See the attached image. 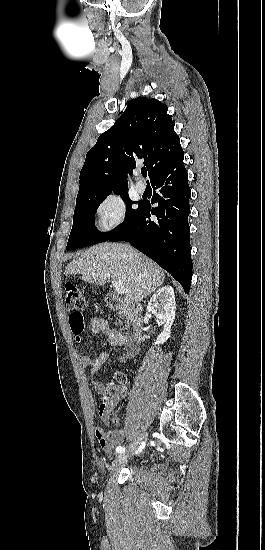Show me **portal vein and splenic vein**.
<instances>
[{
  "label": "portal vein and splenic vein",
  "mask_w": 265,
  "mask_h": 550,
  "mask_svg": "<svg viewBox=\"0 0 265 550\" xmlns=\"http://www.w3.org/2000/svg\"><path fill=\"white\" fill-rule=\"evenodd\" d=\"M112 285L114 286L116 292L120 295L125 293V288L120 281H112Z\"/></svg>",
  "instance_id": "portal-vein-and-splenic-vein-1"
}]
</instances>
